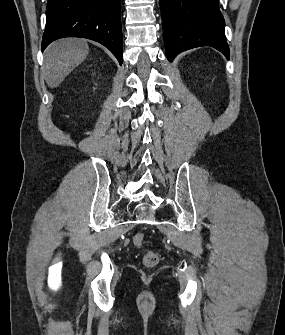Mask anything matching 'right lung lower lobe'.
Returning <instances> with one entry per match:
<instances>
[{
  "mask_svg": "<svg viewBox=\"0 0 285 335\" xmlns=\"http://www.w3.org/2000/svg\"><path fill=\"white\" fill-rule=\"evenodd\" d=\"M64 37L94 40L123 62L120 0H48L42 51Z\"/></svg>",
  "mask_w": 285,
  "mask_h": 335,
  "instance_id": "right-lung-lower-lobe-1",
  "label": "right lung lower lobe"
}]
</instances>
